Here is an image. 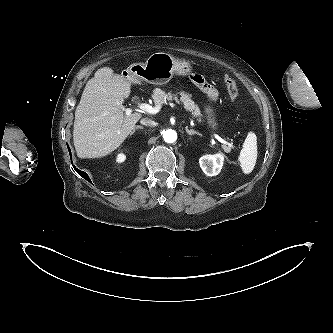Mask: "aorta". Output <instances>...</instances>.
Returning <instances> with one entry per match:
<instances>
[{
  "label": "aorta",
  "mask_w": 333,
  "mask_h": 333,
  "mask_svg": "<svg viewBox=\"0 0 333 333\" xmlns=\"http://www.w3.org/2000/svg\"><path fill=\"white\" fill-rule=\"evenodd\" d=\"M163 139L167 143H173L177 140V133L172 129H168L163 133Z\"/></svg>",
  "instance_id": "762f6f07"
}]
</instances>
